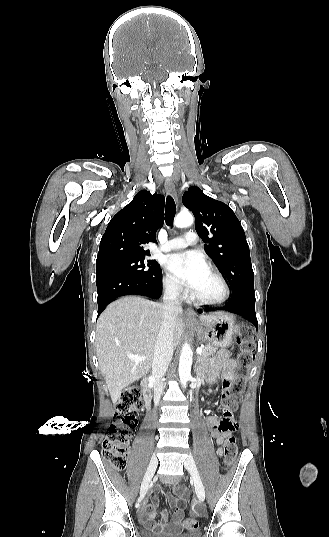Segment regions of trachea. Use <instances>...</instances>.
<instances>
[{"instance_id": "obj_1", "label": "trachea", "mask_w": 329, "mask_h": 537, "mask_svg": "<svg viewBox=\"0 0 329 537\" xmlns=\"http://www.w3.org/2000/svg\"><path fill=\"white\" fill-rule=\"evenodd\" d=\"M175 213H176L175 201L171 196H168L166 199V208H165V222L167 226H171L173 224Z\"/></svg>"}]
</instances>
